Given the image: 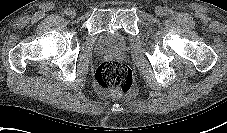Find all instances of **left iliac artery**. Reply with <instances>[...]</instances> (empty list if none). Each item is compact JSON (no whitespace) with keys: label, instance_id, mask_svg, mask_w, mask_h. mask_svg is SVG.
Masks as SVG:
<instances>
[{"label":"left iliac artery","instance_id":"1","mask_svg":"<svg viewBox=\"0 0 227 133\" xmlns=\"http://www.w3.org/2000/svg\"><path fill=\"white\" fill-rule=\"evenodd\" d=\"M170 10L168 8H165V15L169 14Z\"/></svg>","mask_w":227,"mask_h":133}]
</instances>
